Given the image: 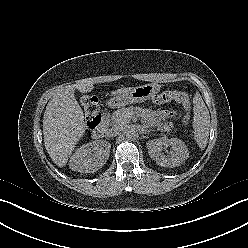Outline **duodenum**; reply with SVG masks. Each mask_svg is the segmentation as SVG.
<instances>
[{
  "instance_id": "1",
  "label": "duodenum",
  "mask_w": 248,
  "mask_h": 248,
  "mask_svg": "<svg viewBox=\"0 0 248 248\" xmlns=\"http://www.w3.org/2000/svg\"><path fill=\"white\" fill-rule=\"evenodd\" d=\"M92 130V136L96 139L101 138L106 129V118L103 117V115H99L95 120L94 124L91 127Z\"/></svg>"
}]
</instances>
